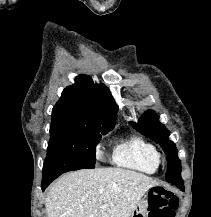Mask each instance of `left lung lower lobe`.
<instances>
[{"label":"left lung lower lobe","mask_w":211,"mask_h":217,"mask_svg":"<svg viewBox=\"0 0 211 217\" xmlns=\"http://www.w3.org/2000/svg\"><path fill=\"white\" fill-rule=\"evenodd\" d=\"M180 190L184 191V186H177Z\"/></svg>","instance_id":"left-lung-lower-lobe-1"}]
</instances>
